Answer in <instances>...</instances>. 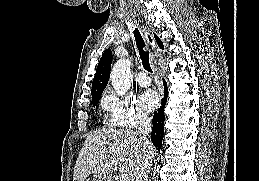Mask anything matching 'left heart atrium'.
Returning <instances> with one entry per match:
<instances>
[{
    "mask_svg": "<svg viewBox=\"0 0 259 181\" xmlns=\"http://www.w3.org/2000/svg\"><path fill=\"white\" fill-rule=\"evenodd\" d=\"M158 95L154 90H145L137 98L139 106L146 112L152 111L158 105Z\"/></svg>",
    "mask_w": 259,
    "mask_h": 181,
    "instance_id": "left-heart-atrium-1",
    "label": "left heart atrium"
}]
</instances>
